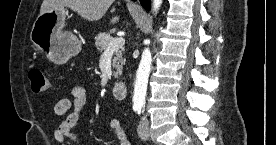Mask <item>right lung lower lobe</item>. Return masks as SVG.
Returning a JSON list of instances; mask_svg holds the SVG:
<instances>
[{
    "label": "right lung lower lobe",
    "instance_id": "right-lung-lower-lobe-1",
    "mask_svg": "<svg viewBox=\"0 0 276 145\" xmlns=\"http://www.w3.org/2000/svg\"><path fill=\"white\" fill-rule=\"evenodd\" d=\"M141 2V5L147 9V10H150L151 6H150V0H140Z\"/></svg>",
    "mask_w": 276,
    "mask_h": 145
}]
</instances>
